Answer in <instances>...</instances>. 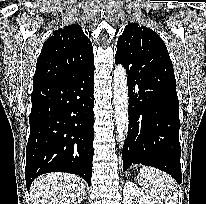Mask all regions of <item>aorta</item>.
<instances>
[{"instance_id":"aorta-1","label":"aorta","mask_w":206,"mask_h":204,"mask_svg":"<svg viewBox=\"0 0 206 204\" xmlns=\"http://www.w3.org/2000/svg\"><path fill=\"white\" fill-rule=\"evenodd\" d=\"M113 94L115 108L116 134L119 147L122 148L128 128V88L126 69L122 65L115 67L113 75Z\"/></svg>"}]
</instances>
